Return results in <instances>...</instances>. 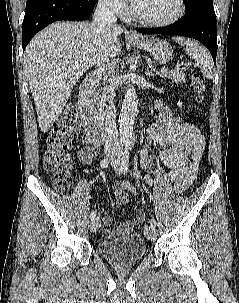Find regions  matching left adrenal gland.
<instances>
[{"instance_id": "left-adrenal-gland-1", "label": "left adrenal gland", "mask_w": 239, "mask_h": 303, "mask_svg": "<svg viewBox=\"0 0 239 303\" xmlns=\"http://www.w3.org/2000/svg\"><path fill=\"white\" fill-rule=\"evenodd\" d=\"M145 73H146V75H148V76H155V74L152 73V71H149L148 67L146 68Z\"/></svg>"}]
</instances>
